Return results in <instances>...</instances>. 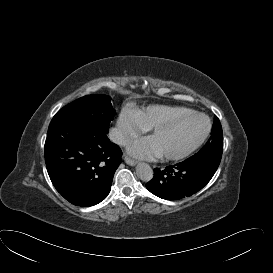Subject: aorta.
Here are the masks:
<instances>
[{"instance_id": "aorta-1", "label": "aorta", "mask_w": 273, "mask_h": 273, "mask_svg": "<svg viewBox=\"0 0 273 273\" xmlns=\"http://www.w3.org/2000/svg\"><path fill=\"white\" fill-rule=\"evenodd\" d=\"M136 175L143 181H149L153 177V170L149 164L139 162L135 167Z\"/></svg>"}]
</instances>
